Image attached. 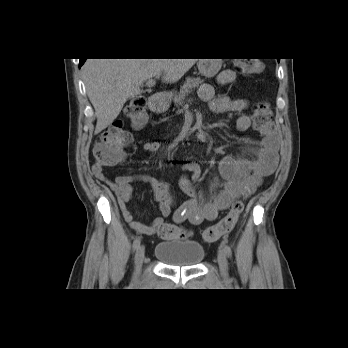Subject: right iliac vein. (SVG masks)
Returning a JSON list of instances; mask_svg holds the SVG:
<instances>
[{"label": "right iliac vein", "instance_id": "1", "mask_svg": "<svg viewBox=\"0 0 348 348\" xmlns=\"http://www.w3.org/2000/svg\"><path fill=\"white\" fill-rule=\"evenodd\" d=\"M145 256V248L143 245L139 246L135 254V272L134 277L137 279L140 275L141 267Z\"/></svg>", "mask_w": 348, "mask_h": 348}]
</instances>
